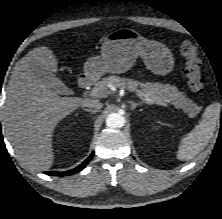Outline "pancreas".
<instances>
[{
    "mask_svg": "<svg viewBox=\"0 0 222 219\" xmlns=\"http://www.w3.org/2000/svg\"><path fill=\"white\" fill-rule=\"evenodd\" d=\"M107 84L114 85L117 88H127L147 97L150 104H158L159 101H165L174 105L177 109H182L189 117H195L201 110V107L185 96V93L179 92L178 89L169 84L140 82L129 78H120L111 75L102 79L96 84L97 88H102L107 92Z\"/></svg>",
    "mask_w": 222,
    "mask_h": 219,
    "instance_id": "1",
    "label": "pancreas"
}]
</instances>
